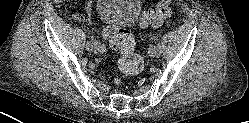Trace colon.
Masks as SVG:
<instances>
[{
  "instance_id": "1",
  "label": "colon",
  "mask_w": 249,
  "mask_h": 123,
  "mask_svg": "<svg viewBox=\"0 0 249 123\" xmlns=\"http://www.w3.org/2000/svg\"><path fill=\"white\" fill-rule=\"evenodd\" d=\"M171 13V1L161 0L144 12L142 25H158ZM105 35L111 47L120 53L118 67L126 75L139 73L143 68V59L135 52V43L132 35L125 29H107ZM116 86L121 85V79L114 80Z\"/></svg>"
}]
</instances>
